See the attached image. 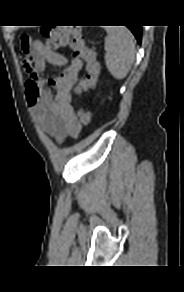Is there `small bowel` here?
<instances>
[{
  "instance_id": "c3829d8e",
  "label": "small bowel",
  "mask_w": 184,
  "mask_h": 292,
  "mask_svg": "<svg viewBox=\"0 0 184 292\" xmlns=\"http://www.w3.org/2000/svg\"><path fill=\"white\" fill-rule=\"evenodd\" d=\"M22 47L23 66L29 73L25 83L26 99L36 120L57 142L77 137L81 125L72 106L71 89L83 70L82 60L52 51L39 41L30 40ZM47 63L64 70L58 76L42 78L39 74Z\"/></svg>"
}]
</instances>
